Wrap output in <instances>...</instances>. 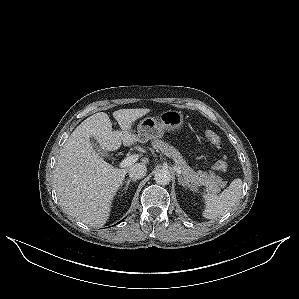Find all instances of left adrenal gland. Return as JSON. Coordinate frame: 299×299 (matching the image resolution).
<instances>
[{
	"instance_id": "left-adrenal-gland-1",
	"label": "left adrenal gland",
	"mask_w": 299,
	"mask_h": 299,
	"mask_svg": "<svg viewBox=\"0 0 299 299\" xmlns=\"http://www.w3.org/2000/svg\"><path fill=\"white\" fill-rule=\"evenodd\" d=\"M177 177H178L179 184H181L182 186H185V181L183 180V178L179 174H177Z\"/></svg>"
}]
</instances>
